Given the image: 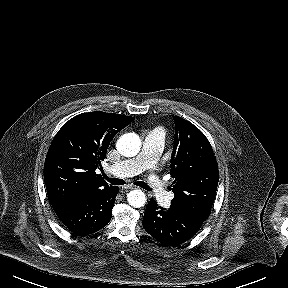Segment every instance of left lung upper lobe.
<instances>
[{"instance_id":"obj_1","label":"left lung upper lobe","mask_w":288,"mask_h":288,"mask_svg":"<svg viewBox=\"0 0 288 288\" xmlns=\"http://www.w3.org/2000/svg\"><path fill=\"white\" fill-rule=\"evenodd\" d=\"M175 141L170 174L174 198L171 207L206 220L215 200L219 171L206 136L192 123L174 117Z\"/></svg>"}]
</instances>
